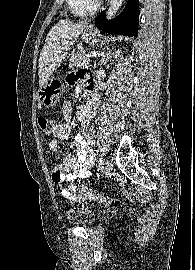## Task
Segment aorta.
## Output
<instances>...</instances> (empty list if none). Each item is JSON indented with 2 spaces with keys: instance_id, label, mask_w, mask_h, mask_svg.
Wrapping results in <instances>:
<instances>
[{
  "instance_id": "obj_1",
  "label": "aorta",
  "mask_w": 195,
  "mask_h": 270,
  "mask_svg": "<svg viewBox=\"0 0 195 270\" xmlns=\"http://www.w3.org/2000/svg\"><path fill=\"white\" fill-rule=\"evenodd\" d=\"M123 2L124 0H110L109 6L106 12V18L108 20L112 19L117 14Z\"/></svg>"
}]
</instances>
